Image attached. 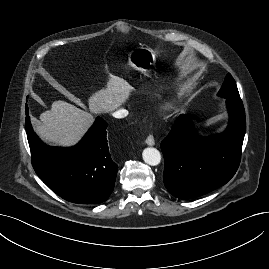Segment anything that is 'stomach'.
Returning <instances> with one entry per match:
<instances>
[{"label":"stomach","instance_id":"stomach-1","mask_svg":"<svg viewBox=\"0 0 269 269\" xmlns=\"http://www.w3.org/2000/svg\"><path fill=\"white\" fill-rule=\"evenodd\" d=\"M156 61V53L149 47H137L128 54V64L143 74H148Z\"/></svg>","mask_w":269,"mask_h":269}]
</instances>
